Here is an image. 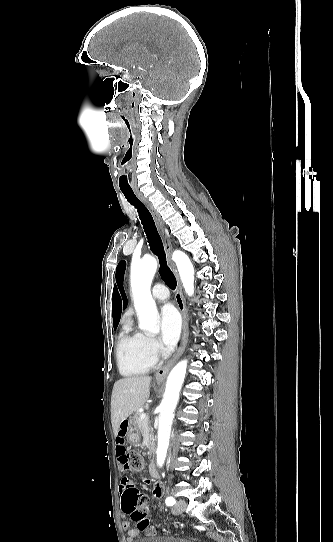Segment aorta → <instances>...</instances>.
<instances>
[{"instance_id":"762f6f07","label":"aorta","mask_w":333,"mask_h":542,"mask_svg":"<svg viewBox=\"0 0 333 542\" xmlns=\"http://www.w3.org/2000/svg\"><path fill=\"white\" fill-rule=\"evenodd\" d=\"M174 260L183 288L187 296L194 294V268L184 252H174ZM157 270V260L152 256H144L141 262L131 268V288L133 292L134 308L137 312L140 330L157 332L158 310L151 294V282ZM187 360H182L171 370L167 382L164 398L159 406L157 464L163 466L169 446L173 412L179 400V392L185 380Z\"/></svg>"}]
</instances>
